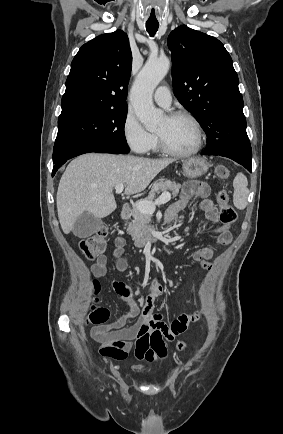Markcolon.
Returning <instances> with one entry per match:
<instances>
[{"mask_svg":"<svg viewBox=\"0 0 283 434\" xmlns=\"http://www.w3.org/2000/svg\"><path fill=\"white\" fill-rule=\"evenodd\" d=\"M217 173L219 177L226 178L228 175V170L224 166H218ZM217 201L219 204V218L222 223L227 225H233L237 220V213L234 207L229 203L228 194L223 190L217 195ZM107 232L105 229H100L96 233L83 238L80 241V249L84 255L93 260L98 258L103 254L107 245ZM94 290L97 293L99 290V284L97 281L93 282ZM109 318V311L97 305L94 301L90 308V313L87 322L98 326L103 325ZM186 347V344L182 341L178 342L177 349L182 351Z\"/></svg>","mask_w":283,"mask_h":434,"instance_id":"obj_1","label":"colon"}]
</instances>
